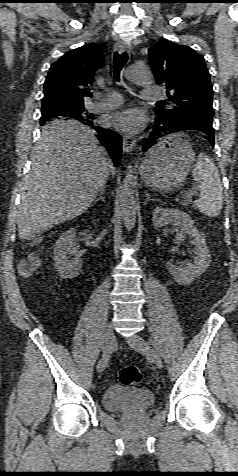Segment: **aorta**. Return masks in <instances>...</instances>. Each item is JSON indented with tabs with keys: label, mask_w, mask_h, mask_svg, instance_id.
I'll use <instances>...</instances> for the list:
<instances>
[{
	"label": "aorta",
	"mask_w": 238,
	"mask_h": 476,
	"mask_svg": "<svg viewBox=\"0 0 238 476\" xmlns=\"http://www.w3.org/2000/svg\"><path fill=\"white\" fill-rule=\"evenodd\" d=\"M127 79L135 84L146 87L153 83L151 72L139 66H131L125 73ZM121 213L124 226L128 232L132 231L136 223L137 205L134 190L133 166L129 164L123 180L121 192Z\"/></svg>",
	"instance_id": "762f6f07"
}]
</instances>
